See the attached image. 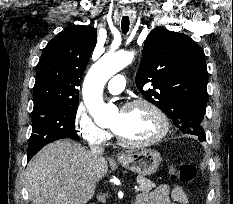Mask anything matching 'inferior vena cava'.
I'll return each mask as SVG.
<instances>
[{
    "label": "inferior vena cava",
    "mask_w": 233,
    "mask_h": 204,
    "mask_svg": "<svg viewBox=\"0 0 233 204\" xmlns=\"http://www.w3.org/2000/svg\"><path fill=\"white\" fill-rule=\"evenodd\" d=\"M90 149H91V153L95 159L102 157V155L104 153V148L101 145V142L98 140H96L90 144ZM97 174L99 175V172H97Z\"/></svg>",
    "instance_id": "inferior-vena-cava-1"
}]
</instances>
